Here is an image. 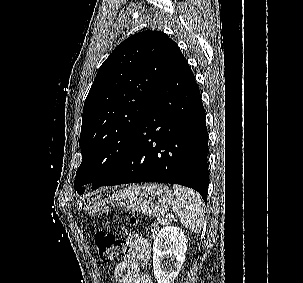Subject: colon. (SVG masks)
<instances>
[{
  "label": "colon",
  "instance_id": "1",
  "mask_svg": "<svg viewBox=\"0 0 303 283\" xmlns=\"http://www.w3.org/2000/svg\"><path fill=\"white\" fill-rule=\"evenodd\" d=\"M95 243L100 258L107 263L114 262L125 249V242L119 236L107 230L96 232Z\"/></svg>",
  "mask_w": 303,
  "mask_h": 283
}]
</instances>
